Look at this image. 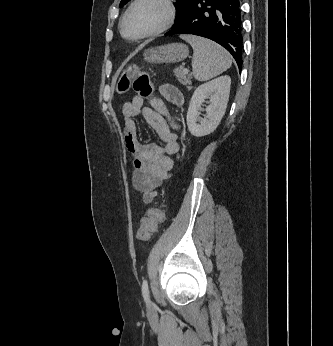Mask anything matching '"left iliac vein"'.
Instances as JSON below:
<instances>
[{
  "label": "left iliac vein",
  "mask_w": 333,
  "mask_h": 346,
  "mask_svg": "<svg viewBox=\"0 0 333 346\" xmlns=\"http://www.w3.org/2000/svg\"><path fill=\"white\" fill-rule=\"evenodd\" d=\"M155 311H156L155 305H154V303L152 301H150L149 304H148V313H149V315L154 314Z\"/></svg>",
  "instance_id": "obj_1"
}]
</instances>
